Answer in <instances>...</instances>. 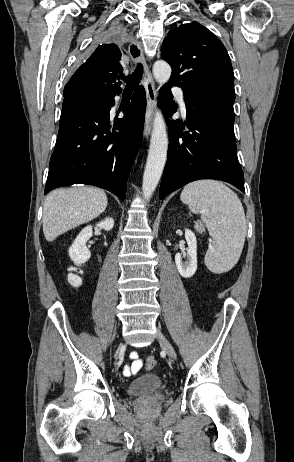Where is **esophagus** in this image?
<instances>
[{
    "label": "esophagus",
    "mask_w": 294,
    "mask_h": 462,
    "mask_svg": "<svg viewBox=\"0 0 294 462\" xmlns=\"http://www.w3.org/2000/svg\"><path fill=\"white\" fill-rule=\"evenodd\" d=\"M128 52L134 64L142 63L144 66L145 73L142 83L146 91L147 100L144 134L146 137H148L151 131L152 118L156 106L157 92L152 75L145 61L142 43L137 40L132 41L129 45Z\"/></svg>",
    "instance_id": "esophagus-1"
}]
</instances>
